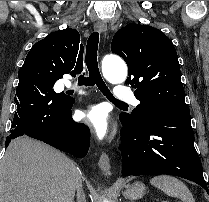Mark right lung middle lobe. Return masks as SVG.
<instances>
[{
    "mask_svg": "<svg viewBox=\"0 0 209 202\" xmlns=\"http://www.w3.org/2000/svg\"><path fill=\"white\" fill-rule=\"evenodd\" d=\"M19 77V76H18ZM20 78V77H19ZM37 82H39L41 85H44L46 87V89L50 90L52 92V94L60 97V96H63L64 94L62 93H56L52 88L54 86V83H55V80L50 78V77H47V76H42V75H38V76H35L33 77ZM20 80H22L20 78Z\"/></svg>",
    "mask_w": 209,
    "mask_h": 202,
    "instance_id": "obj_1",
    "label": "right lung middle lobe"
}]
</instances>
